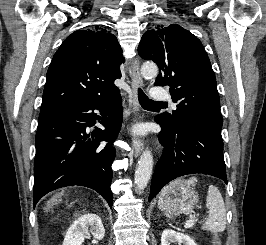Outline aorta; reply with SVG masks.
I'll return each instance as SVG.
<instances>
[{"label":"aorta","mask_w":266,"mask_h":245,"mask_svg":"<svg viewBox=\"0 0 266 245\" xmlns=\"http://www.w3.org/2000/svg\"><path fill=\"white\" fill-rule=\"evenodd\" d=\"M141 74L145 76V78H153V76H157L158 74V66L157 64H153V62H144L141 66ZM153 169V155L151 151H143L140 161L137 165V169L135 171V185L137 191H142V189H146L148 185V181L151 179Z\"/></svg>","instance_id":"1"}]
</instances>
